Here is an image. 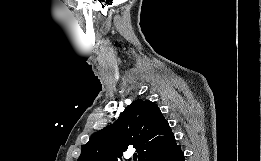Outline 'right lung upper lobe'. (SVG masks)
<instances>
[{
	"label": "right lung upper lobe",
	"mask_w": 261,
	"mask_h": 161,
	"mask_svg": "<svg viewBox=\"0 0 261 161\" xmlns=\"http://www.w3.org/2000/svg\"><path fill=\"white\" fill-rule=\"evenodd\" d=\"M175 144L171 128L158 106L137 99L114 123L94 133L82 145L78 161H118L131 147L136 148L138 161H146L152 154Z\"/></svg>",
	"instance_id": "1"
}]
</instances>
